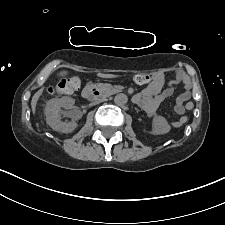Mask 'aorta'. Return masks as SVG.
I'll return each instance as SVG.
<instances>
[{
  "mask_svg": "<svg viewBox=\"0 0 225 225\" xmlns=\"http://www.w3.org/2000/svg\"><path fill=\"white\" fill-rule=\"evenodd\" d=\"M128 102V97L127 95L123 93H119L114 97V103L117 106H124Z\"/></svg>",
  "mask_w": 225,
  "mask_h": 225,
  "instance_id": "aorta-1",
  "label": "aorta"
}]
</instances>
